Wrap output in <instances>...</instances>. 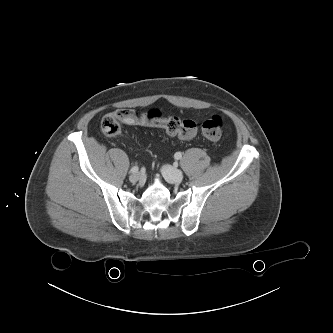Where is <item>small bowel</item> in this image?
Masks as SVG:
<instances>
[{
	"label": "small bowel",
	"mask_w": 333,
	"mask_h": 333,
	"mask_svg": "<svg viewBox=\"0 0 333 333\" xmlns=\"http://www.w3.org/2000/svg\"><path fill=\"white\" fill-rule=\"evenodd\" d=\"M130 111L133 113L134 116H136V115H140V114H148V115L160 116V117H161L160 112L157 111V110H151V111H148V112H141V111H138V110H132V109H131ZM131 124H141V123H139V122L135 119V117H134V119H133V121L131 122Z\"/></svg>",
	"instance_id": "c3829d8e"
}]
</instances>
